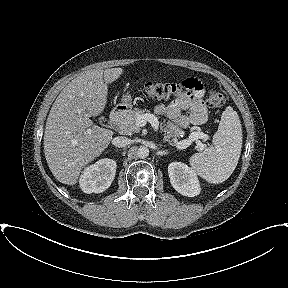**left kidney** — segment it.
Returning a JSON list of instances; mask_svg holds the SVG:
<instances>
[{"label":"left kidney","mask_w":288,"mask_h":288,"mask_svg":"<svg viewBox=\"0 0 288 288\" xmlns=\"http://www.w3.org/2000/svg\"><path fill=\"white\" fill-rule=\"evenodd\" d=\"M168 174L173 188L180 194L188 197L200 193V184L195 172L186 164L172 162L168 166Z\"/></svg>","instance_id":"1"}]
</instances>
